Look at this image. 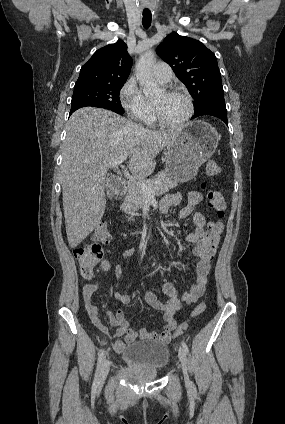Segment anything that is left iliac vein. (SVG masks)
I'll use <instances>...</instances> for the list:
<instances>
[{"mask_svg": "<svg viewBox=\"0 0 285 424\" xmlns=\"http://www.w3.org/2000/svg\"><path fill=\"white\" fill-rule=\"evenodd\" d=\"M178 356H179V360L181 362L185 383L190 384V379H189L188 370H187V356H186V352H185L184 348L179 349Z\"/></svg>", "mask_w": 285, "mask_h": 424, "instance_id": "4c4485c4", "label": "left iliac vein"}]
</instances>
